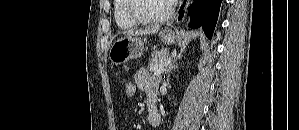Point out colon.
Listing matches in <instances>:
<instances>
[{
	"instance_id": "1",
	"label": "colon",
	"mask_w": 299,
	"mask_h": 130,
	"mask_svg": "<svg viewBox=\"0 0 299 130\" xmlns=\"http://www.w3.org/2000/svg\"><path fill=\"white\" fill-rule=\"evenodd\" d=\"M137 90H138V85L135 80V77H134V79H130V80L126 81V83L124 85V92H125V95L127 98H129V99L133 98L136 95Z\"/></svg>"
}]
</instances>
